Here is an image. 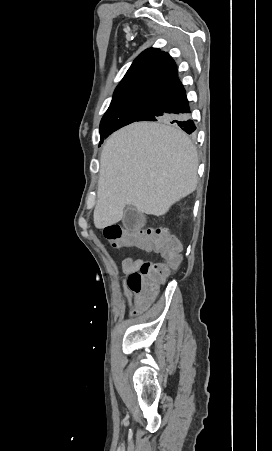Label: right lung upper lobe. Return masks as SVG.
<instances>
[{
    "mask_svg": "<svg viewBox=\"0 0 272 451\" xmlns=\"http://www.w3.org/2000/svg\"><path fill=\"white\" fill-rule=\"evenodd\" d=\"M175 77L177 69L173 59L157 48L147 49L132 63L117 86L112 102L151 98Z\"/></svg>",
    "mask_w": 272,
    "mask_h": 451,
    "instance_id": "1",
    "label": "right lung upper lobe"
}]
</instances>
